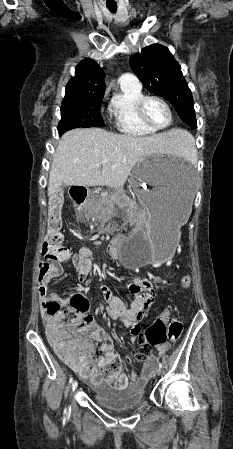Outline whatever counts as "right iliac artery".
I'll return each instance as SVG.
<instances>
[{
    "instance_id": "obj_1",
    "label": "right iliac artery",
    "mask_w": 233,
    "mask_h": 449,
    "mask_svg": "<svg viewBox=\"0 0 233 449\" xmlns=\"http://www.w3.org/2000/svg\"><path fill=\"white\" fill-rule=\"evenodd\" d=\"M73 381V378L71 377L70 378V380H69V382L71 383ZM67 413V411H66V409L64 410V414H66Z\"/></svg>"
}]
</instances>
